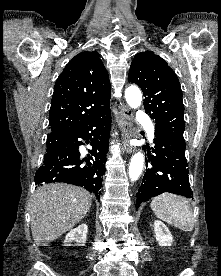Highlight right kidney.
Returning <instances> with one entry per match:
<instances>
[{
    "label": "right kidney",
    "mask_w": 221,
    "mask_h": 276,
    "mask_svg": "<svg viewBox=\"0 0 221 276\" xmlns=\"http://www.w3.org/2000/svg\"><path fill=\"white\" fill-rule=\"evenodd\" d=\"M87 232L88 226L86 224H81L71 230L65 237V246H70L72 242H75L78 246H84L86 243Z\"/></svg>",
    "instance_id": "1"
}]
</instances>
